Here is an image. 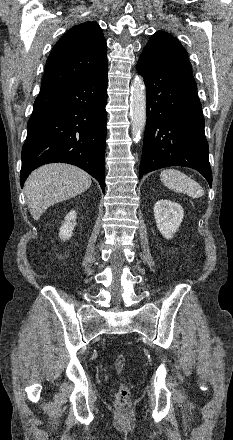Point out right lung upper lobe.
<instances>
[{
  "label": "right lung upper lobe",
  "mask_w": 233,
  "mask_h": 440,
  "mask_svg": "<svg viewBox=\"0 0 233 440\" xmlns=\"http://www.w3.org/2000/svg\"><path fill=\"white\" fill-rule=\"evenodd\" d=\"M106 70L103 32L97 23L85 22L65 33L52 49L46 62L41 90L83 82Z\"/></svg>",
  "instance_id": "cb5924a9"
}]
</instances>
